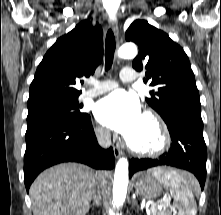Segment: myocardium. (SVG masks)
Returning a JSON list of instances; mask_svg holds the SVG:
<instances>
[{
  "instance_id": "f54148a6",
  "label": "myocardium",
  "mask_w": 221,
  "mask_h": 215,
  "mask_svg": "<svg viewBox=\"0 0 221 215\" xmlns=\"http://www.w3.org/2000/svg\"><path fill=\"white\" fill-rule=\"evenodd\" d=\"M143 119L150 122L157 132V142L153 147L143 148L133 144L128 138L124 140L126 147L135 155L155 157L163 154L170 145V133L165 121L157 113L146 111Z\"/></svg>"
}]
</instances>
